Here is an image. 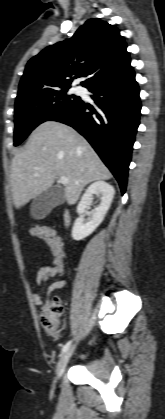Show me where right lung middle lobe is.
Returning a JSON list of instances; mask_svg holds the SVG:
<instances>
[{
	"mask_svg": "<svg viewBox=\"0 0 165 419\" xmlns=\"http://www.w3.org/2000/svg\"><path fill=\"white\" fill-rule=\"evenodd\" d=\"M69 87L42 91L15 104L14 145H19L39 124L63 113L80 101L75 95L67 94Z\"/></svg>",
	"mask_w": 165,
	"mask_h": 419,
	"instance_id": "1",
	"label": "right lung middle lobe"
}]
</instances>
